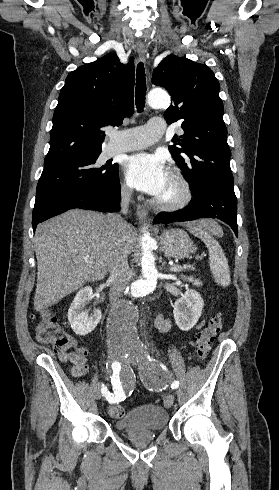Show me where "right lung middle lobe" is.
<instances>
[{
    "instance_id": "right-lung-middle-lobe-1",
    "label": "right lung middle lobe",
    "mask_w": 279,
    "mask_h": 490,
    "mask_svg": "<svg viewBox=\"0 0 279 490\" xmlns=\"http://www.w3.org/2000/svg\"><path fill=\"white\" fill-rule=\"evenodd\" d=\"M100 153L45 162L36 193L46 188L111 184L118 177V165L112 161L100 165Z\"/></svg>"
}]
</instances>
